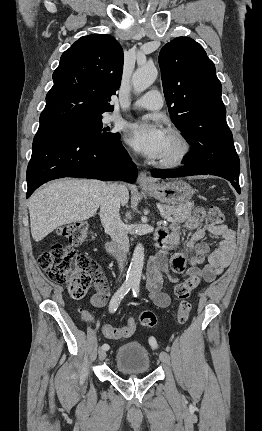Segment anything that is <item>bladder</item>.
<instances>
[{
	"label": "bladder",
	"instance_id": "31cf9c89",
	"mask_svg": "<svg viewBox=\"0 0 262 431\" xmlns=\"http://www.w3.org/2000/svg\"><path fill=\"white\" fill-rule=\"evenodd\" d=\"M116 367L123 373L146 374L150 369V357L144 344L132 341L120 345L116 351Z\"/></svg>",
	"mask_w": 262,
	"mask_h": 431
}]
</instances>
